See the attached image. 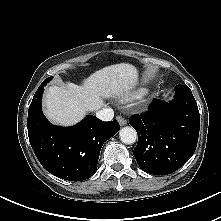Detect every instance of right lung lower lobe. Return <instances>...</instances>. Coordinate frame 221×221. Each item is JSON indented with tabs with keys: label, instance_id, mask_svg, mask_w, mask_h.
<instances>
[{
	"label": "right lung lower lobe",
	"instance_id": "1",
	"mask_svg": "<svg viewBox=\"0 0 221 221\" xmlns=\"http://www.w3.org/2000/svg\"><path fill=\"white\" fill-rule=\"evenodd\" d=\"M46 80L36 91L28 111V136L41 165L69 181L90 178L97 170L101 147L120 129L116 120L103 122L88 115L72 127L54 126L45 118L41 98Z\"/></svg>",
	"mask_w": 221,
	"mask_h": 221
}]
</instances>
